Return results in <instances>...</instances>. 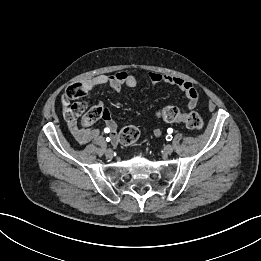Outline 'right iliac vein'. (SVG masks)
Wrapping results in <instances>:
<instances>
[{
  "label": "right iliac vein",
  "instance_id": "right-iliac-vein-1",
  "mask_svg": "<svg viewBox=\"0 0 261 261\" xmlns=\"http://www.w3.org/2000/svg\"><path fill=\"white\" fill-rule=\"evenodd\" d=\"M105 155L107 158H112L113 157V151L111 149H107L105 152Z\"/></svg>",
  "mask_w": 261,
  "mask_h": 261
}]
</instances>
